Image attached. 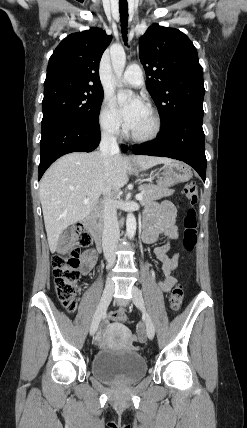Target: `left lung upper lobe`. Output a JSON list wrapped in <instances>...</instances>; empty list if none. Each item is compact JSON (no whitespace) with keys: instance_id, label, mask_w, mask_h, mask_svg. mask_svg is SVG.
<instances>
[{"instance_id":"left-lung-upper-lobe-1","label":"left lung upper lobe","mask_w":247,"mask_h":428,"mask_svg":"<svg viewBox=\"0 0 247 428\" xmlns=\"http://www.w3.org/2000/svg\"><path fill=\"white\" fill-rule=\"evenodd\" d=\"M139 58L163 124L179 115L203 116V72L197 50L184 33L152 25L140 38Z\"/></svg>"}]
</instances>
